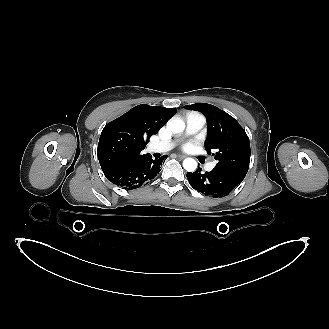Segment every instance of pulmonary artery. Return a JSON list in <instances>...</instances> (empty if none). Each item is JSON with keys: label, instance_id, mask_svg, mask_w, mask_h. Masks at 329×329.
<instances>
[{"label": "pulmonary artery", "instance_id": "obj_1", "mask_svg": "<svg viewBox=\"0 0 329 329\" xmlns=\"http://www.w3.org/2000/svg\"><path fill=\"white\" fill-rule=\"evenodd\" d=\"M206 119L199 113H191L186 120V134H196L205 125ZM173 141H160L153 143L150 147L153 152H166L174 147ZM214 168L213 163L206 166V170L211 171Z\"/></svg>", "mask_w": 329, "mask_h": 329}]
</instances>
